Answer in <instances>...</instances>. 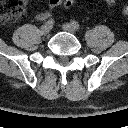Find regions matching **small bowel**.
I'll return each instance as SVG.
<instances>
[{"label": "small bowel", "instance_id": "small-bowel-1", "mask_svg": "<svg viewBox=\"0 0 128 128\" xmlns=\"http://www.w3.org/2000/svg\"><path fill=\"white\" fill-rule=\"evenodd\" d=\"M63 2V0H49L48 1V7L50 9H54L56 7H58L59 5H61ZM51 16L50 11L45 10V11H41L39 13L36 14V19L39 21H44L46 19H48Z\"/></svg>", "mask_w": 128, "mask_h": 128}]
</instances>
